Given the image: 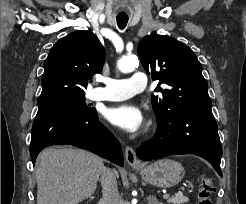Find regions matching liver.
<instances>
[{
	"label": "liver",
	"mask_w": 246,
	"mask_h": 204,
	"mask_svg": "<svg viewBox=\"0 0 246 204\" xmlns=\"http://www.w3.org/2000/svg\"><path fill=\"white\" fill-rule=\"evenodd\" d=\"M103 160L81 149L49 147L39 155L36 168L37 204H78L92 196ZM118 177V173L115 172Z\"/></svg>",
	"instance_id": "1"
}]
</instances>
